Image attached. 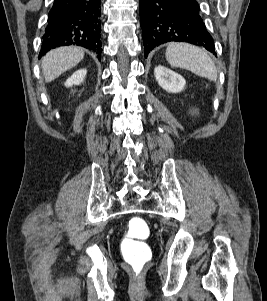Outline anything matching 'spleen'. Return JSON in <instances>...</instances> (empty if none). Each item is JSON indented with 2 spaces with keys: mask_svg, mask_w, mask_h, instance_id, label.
I'll return each instance as SVG.
<instances>
[{
  "mask_svg": "<svg viewBox=\"0 0 267 301\" xmlns=\"http://www.w3.org/2000/svg\"><path fill=\"white\" fill-rule=\"evenodd\" d=\"M166 59L173 67L187 69L211 81L217 79V69L203 49L187 43H171L166 49Z\"/></svg>",
  "mask_w": 267,
  "mask_h": 301,
  "instance_id": "spleen-1",
  "label": "spleen"
}]
</instances>
